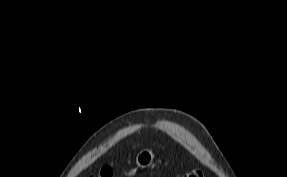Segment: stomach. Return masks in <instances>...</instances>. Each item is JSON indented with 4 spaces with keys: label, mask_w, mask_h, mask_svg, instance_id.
I'll return each instance as SVG.
<instances>
[{
    "label": "stomach",
    "mask_w": 287,
    "mask_h": 177,
    "mask_svg": "<svg viewBox=\"0 0 287 177\" xmlns=\"http://www.w3.org/2000/svg\"><path fill=\"white\" fill-rule=\"evenodd\" d=\"M155 155L150 149H143L136 155V165L139 168H147L152 165Z\"/></svg>",
    "instance_id": "obj_1"
}]
</instances>
